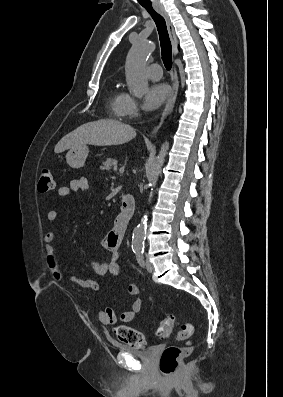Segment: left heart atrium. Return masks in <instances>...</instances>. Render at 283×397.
<instances>
[{"instance_id": "left-heart-atrium-1", "label": "left heart atrium", "mask_w": 283, "mask_h": 397, "mask_svg": "<svg viewBox=\"0 0 283 397\" xmlns=\"http://www.w3.org/2000/svg\"><path fill=\"white\" fill-rule=\"evenodd\" d=\"M170 89L165 84L152 85L145 96L144 108L148 111L159 108L169 97Z\"/></svg>"}]
</instances>
